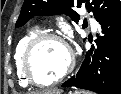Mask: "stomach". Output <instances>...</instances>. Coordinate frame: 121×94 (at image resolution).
<instances>
[{
    "label": "stomach",
    "mask_w": 121,
    "mask_h": 94,
    "mask_svg": "<svg viewBox=\"0 0 121 94\" xmlns=\"http://www.w3.org/2000/svg\"><path fill=\"white\" fill-rule=\"evenodd\" d=\"M70 94H87L84 91H75V92H71Z\"/></svg>",
    "instance_id": "stomach-1"
}]
</instances>
